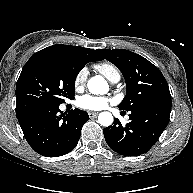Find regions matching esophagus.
Segmentation results:
<instances>
[{"label":"esophagus","mask_w":193,"mask_h":193,"mask_svg":"<svg viewBox=\"0 0 193 193\" xmlns=\"http://www.w3.org/2000/svg\"><path fill=\"white\" fill-rule=\"evenodd\" d=\"M88 115L90 118H95V117H97L98 112H89Z\"/></svg>","instance_id":"34e87169"}]
</instances>
